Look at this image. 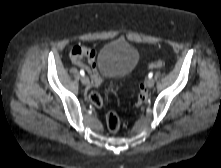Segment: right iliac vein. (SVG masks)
<instances>
[{
    "label": "right iliac vein",
    "mask_w": 221,
    "mask_h": 168,
    "mask_svg": "<svg viewBox=\"0 0 221 168\" xmlns=\"http://www.w3.org/2000/svg\"><path fill=\"white\" fill-rule=\"evenodd\" d=\"M81 82H82L83 85H89L90 84V80L87 76H82Z\"/></svg>",
    "instance_id": "right-iliac-vein-1"
}]
</instances>
